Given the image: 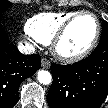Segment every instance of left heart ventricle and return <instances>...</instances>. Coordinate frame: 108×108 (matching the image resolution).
Masks as SVG:
<instances>
[{"label":"left heart ventricle","instance_id":"1","mask_svg":"<svg viewBox=\"0 0 108 108\" xmlns=\"http://www.w3.org/2000/svg\"><path fill=\"white\" fill-rule=\"evenodd\" d=\"M95 30L96 25L92 17H81L69 29L61 43V50L68 54L84 50L92 41Z\"/></svg>","mask_w":108,"mask_h":108}]
</instances>
